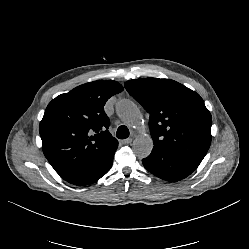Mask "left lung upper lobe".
<instances>
[{
  "label": "left lung upper lobe",
  "instance_id": "1",
  "mask_svg": "<svg viewBox=\"0 0 249 249\" xmlns=\"http://www.w3.org/2000/svg\"><path fill=\"white\" fill-rule=\"evenodd\" d=\"M124 85L150 114L154 148L202 161L211 144L212 117L196 92L170 79H136Z\"/></svg>",
  "mask_w": 249,
  "mask_h": 249
}]
</instances>
